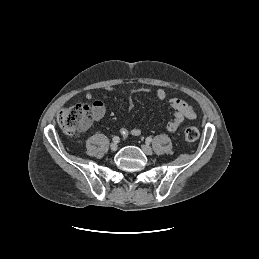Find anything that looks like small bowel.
Wrapping results in <instances>:
<instances>
[{
  "instance_id": "c3829d8e",
  "label": "small bowel",
  "mask_w": 259,
  "mask_h": 259,
  "mask_svg": "<svg viewBox=\"0 0 259 259\" xmlns=\"http://www.w3.org/2000/svg\"><path fill=\"white\" fill-rule=\"evenodd\" d=\"M104 90L111 93H118L129 98L130 101L128 102V105H127L128 112H131L133 109V103L131 101V98L134 95L151 92V88L149 87L132 88L126 91L124 90L118 91L112 87H105ZM155 95L159 101H163L166 98V92L164 89H161V88L156 90ZM85 98L87 100H93L94 94L91 91H88L85 94ZM169 103L172 109L174 110V117L171 121L163 125V128L165 130L169 132H174L183 124L185 120H192L196 117V113L193 107L190 104H188L185 100L180 98H172L169 101ZM93 105H94V118L100 119L104 114L103 103L99 100H96L94 101ZM120 133L123 136V138H127L129 136H138L141 134V129L140 128L129 129V128L123 127L121 128Z\"/></svg>"
}]
</instances>
